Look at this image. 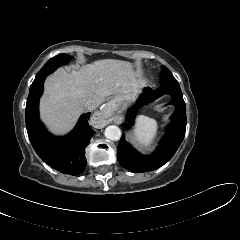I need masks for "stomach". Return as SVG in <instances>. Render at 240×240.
I'll use <instances>...</instances> for the list:
<instances>
[{
    "label": "stomach",
    "mask_w": 240,
    "mask_h": 240,
    "mask_svg": "<svg viewBox=\"0 0 240 240\" xmlns=\"http://www.w3.org/2000/svg\"><path fill=\"white\" fill-rule=\"evenodd\" d=\"M135 95V91L122 92L120 94H116L111 103L115 108H121L126 104V102L133 101Z\"/></svg>",
    "instance_id": "0dacf381"
}]
</instances>
